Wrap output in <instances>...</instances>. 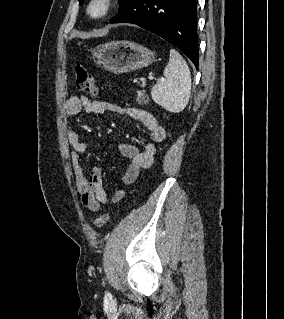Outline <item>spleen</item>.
<instances>
[{
    "instance_id": "3e777b00",
    "label": "spleen",
    "mask_w": 284,
    "mask_h": 319,
    "mask_svg": "<svg viewBox=\"0 0 284 319\" xmlns=\"http://www.w3.org/2000/svg\"><path fill=\"white\" fill-rule=\"evenodd\" d=\"M163 73L165 78L153 86L151 97L164 109L179 113L189 101L191 75L186 61L176 50H170L169 63Z\"/></svg>"
}]
</instances>
